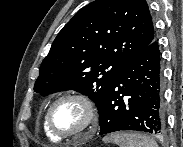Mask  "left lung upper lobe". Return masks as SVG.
<instances>
[{
  "label": "left lung upper lobe",
  "instance_id": "left-lung-upper-lobe-1",
  "mask_svg": "<svg viewBox=\"0 0 183 147\" xmlns=\"http://www.w3.org/2000/svg\"><path fill=\"white\" fill-rule=\"evenodd\" d=\"M154 39L146 0H95L58 33L34 91L75 90L99 109L122 68Z\"/></svg>",
  "mask_w": 183,
  "mask_h": 147
}]
</instances>
